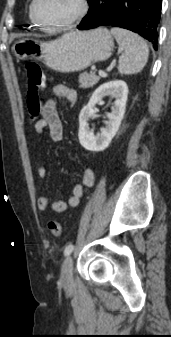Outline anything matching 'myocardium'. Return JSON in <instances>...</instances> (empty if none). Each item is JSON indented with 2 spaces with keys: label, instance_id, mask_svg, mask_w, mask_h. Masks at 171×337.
<instances>
[{
  "label": "myocardium",
  "instance_id": "obj_1",
  "mask_svg": "<svg viewBox=\"0 0 171 337\" xmlns=\"http://www.w3.org/2000/svg\"><path fill=\"white\" fill-rule=\"evenodd\" d=\"M39 0H32L31 6H30V12L31 17L35 21V23L41 27L42 29L50 32H57V31H63L67 30L77 23H79L88 13L89 10V3L88 0H79V10L75 14L74 17H72L70 20L66 21L65 23L59 24V25H47L46 23L42 22L41 19L38 17L37 14V4Z\"/></svg>",
  "mask_w": 171,
  "mask_h": 337
}]
</instances>
